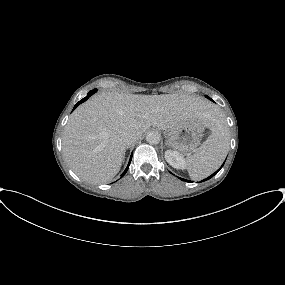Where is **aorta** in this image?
<instances>
[{
  "label": "aorta",
  "instance_id": "762f6f07",
  "mask_svg": "<svg viewBox=\"0 0 285 285\" xmlns=\"http://www.w3.org/2000/svg\"><path fill=\"white\" fill-rule=\"evenodd\" d=\"M161 140V135L157 132V131H149L147 134H146V141L149 143V144H158Z\"/></svg>",
  "mask_w": 285,
  "mask_h": 285
}]
</instances>
